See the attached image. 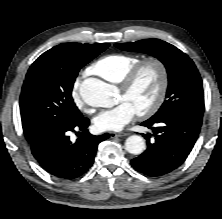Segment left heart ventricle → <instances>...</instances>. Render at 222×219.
I'll return each mask as SVG.
<instances>
[{
    "label": "left heart ventricle",
    "mask_w": 222,
    "mask_h": 219,
    "mask_svg": "<svg viewBox=\"0 0 222 219\" xmlns=\"http://www.w3.org/2000/svg\"><path fill=\"white\" fill-rule=\"evenodd\" d=\"M158 74L154 67H145L133 87L127 93L120 91V100L129 102L136 111L146 108L154 99L158 89Z\"/></svg>",
    "instance_id": "obj_1"
}]
</instances>
